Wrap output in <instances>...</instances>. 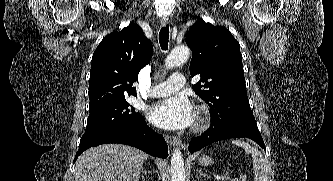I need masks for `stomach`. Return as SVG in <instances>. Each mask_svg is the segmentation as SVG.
Here are the masks:
<instances>
[{"label":"stomach","instance_id":"obj_1","mask_svg":"<svg viewBox=\"0 0 333 181\" xmlns=\"http://www.w3.org/2000/svg\"><path fill=\"white\" fill-rule=\"evenodd\" d=\"M212 163H213V161L209 156H201L198 159V164H200V165L208 166Z\"/></svg>","mask_w":333,"mask_h":181}]
</instances>
